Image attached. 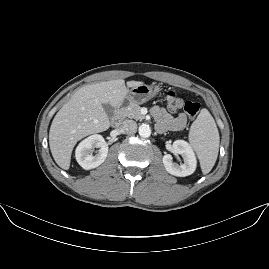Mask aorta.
<instances>
[{
	"label": "aorta",
	"mask_w": 269,
	"mask_h": 269,
	"mask_svg": "<svg viewBox=\"0 0 269 269\" xmlns=\"http://www.w3.org/2000/svg\"><path fill=\"white\" fill-rule=\"evenodd\" d=\"M139 134H140L142 137H148V136H150V134H151V128H150L149 124H147V123H142V124L139 126Z\"/></svg>",
	"instance_id": "762f6f07"
}]
</instances>
